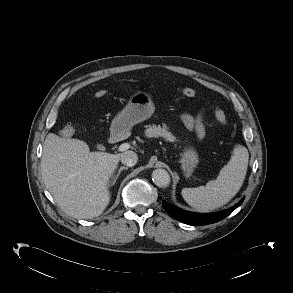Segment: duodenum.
I'll return each mask as SVG.
<instances>
[{
	"label": "duodenum",
	"instance_id": "410a0bca",
	"mask_svg": "<svg viewBox=\"0 0 293 293\" xmlns=\"http://www.w3.org/2000/svg\"><path fill=\"white\" fill-rule=\"evenodd\" d=\"M126 137V133L121 130H116L110 137V143L116 144L123 141Z\"/></svg>",
	"mask_w": 293,
	"mask_h": 293
}]
</instances>
